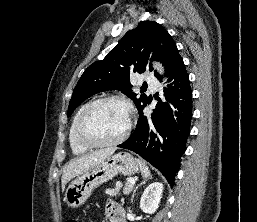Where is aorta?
Here are the masks:
<instances>
[{
  "mask_svg": "<svg viewBox=\"0 0 257 222\" xmlns=\"http://www.w3.org/2000/svg\"><path fill=\"white\" fill-rule=\"evenodd\" d=\"M154 67L159 71V73L162 75L164 73V68L162 67V65L158 62L154 63Z\"/></svg>",
  "mask_w": 257,
  "mask_h": 222,
  "instance_id": "762f6f07",
  "label": "aorta"
}]
</instances>
